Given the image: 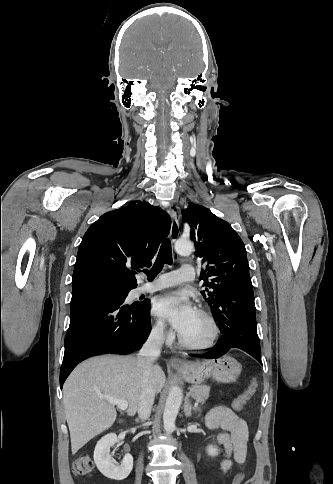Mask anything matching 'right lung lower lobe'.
Listing matches in <instances>:
<instances>
[{
	"label": "right lung lower lobe",
	"mask_w": 333,
	"mask_h": 484,
	"mask_svg": "<svg viewBox=\"0 0 333 484\" xmlns=\"http://www.w3.org/2000/svg\"><path fill=\"white\" fill-rule=\"evenodd\" d=\"M127 294L104 288L72 292L70 326L60 370V386L82 360L98 354H130L151 331L150 304L123 305ZM1 332V313H0Z\"/></svg>",
	"instance_id": "1"
}]
</instances>
